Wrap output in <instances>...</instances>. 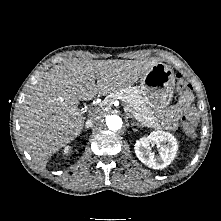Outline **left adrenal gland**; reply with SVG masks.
<instances>
[{"mask_svg": "<svg viewBox=\"0 0 221 221\" xmlns=\"http://www.w3.org/2000/svg\"><path fill=\"white\" fill-rule=\"evenodd\" d=\"M131 126H132V127H133V126L141 127L142 125H140V124H138V123L133 122V123H131Z\"/></svg>", "mask_w": 221, "mask_h": 221, "instance_id": "a2214340", "label": "left adrenal gland"}]
</instances>
